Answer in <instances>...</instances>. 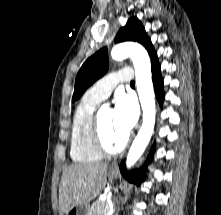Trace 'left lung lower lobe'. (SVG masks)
<instances>
[{
  "label": "left lung lower lobe",
  "instance_id": "left-lung-lower-lobe-1",
  "mask_svg": "<svg viewBox=\"0 0 221 215\" xmlns=\"http://www.w3.org/2000/svg\"><path fill=\"white\" fill-rule=\"evenodd\" d=\"M151 62H152V78H153L155 93L159 103H162L164 99L163 80L160 74V64L158 62L157 54H155L151 58ZM153 150L154 148L152 149L150 155L148 156L146 163H149L151 161ZM120 171L124 177L127 176V179L130 182L136 183L137 185H139L144 180L145 177L143 169L138 171H130L129 173H127L125 162H122L120 164Z\"/></svg>",
  "mask_w": 221,
  "mask_h": 215
}]
</instances>
